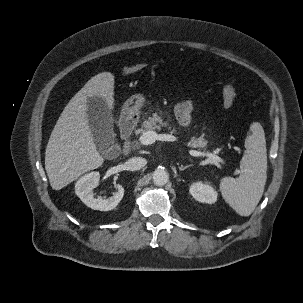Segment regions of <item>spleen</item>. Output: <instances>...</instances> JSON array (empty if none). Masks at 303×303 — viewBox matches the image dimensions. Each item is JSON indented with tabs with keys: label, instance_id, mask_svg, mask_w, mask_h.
Wrapping results in <instances>:
<instances>
[{
	"label": "spleen",
	"instance_id": "spleen-1",
	"mask_svg": "<svg viewBox=\"0 0 303 303\" xmlns=\"http://www.w3.org/2000/svg\"><path fill=\"white\" fill-rule=\"evenodd\" d=\"M245 139L248 153L240 161L238 178L224 177L220 191L225 201L241 216H249L259 203L267 179V150L263 127L254 122Z\"/></svg>",
	"mask_w": 303,
	"mask_h": 303
}]
</instances>
